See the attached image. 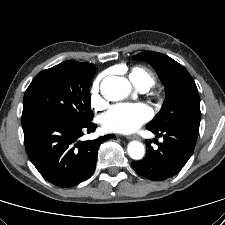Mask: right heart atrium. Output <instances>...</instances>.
<instances>
[{
    "label": "right heart atrium",
    "instance_id": "obj_1",
    "mask_svg": "<svg viewBox=\"0 0 225 225\" xmlns=\"http://www.w3.org/2000/svg\"><path fill=\"white\" fill-rule=\"evenodd\" d=\"M100 81L101 76L96 78L91 88V104L95 109H102L106 104V101L100 93Z\"/></svg>",
    "mask_w": 225,
    "mask_h": 225
}]
</instances>
